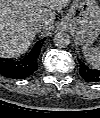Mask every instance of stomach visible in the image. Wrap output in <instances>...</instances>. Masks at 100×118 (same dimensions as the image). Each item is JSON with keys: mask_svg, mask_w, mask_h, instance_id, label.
Wrapping results in <instances>:
<instances>
[{"mask_svg": "<svg viewBox=\"0 0 100 118\" xmlns=\"http://www.w3.org/2000/svg\"><path fill=\"white\" fill-rule=\"evenodd\" d=\"M63 22L80 44L89 46L100 35V6L96 0H73Z\"/></svg>", "mask_w": 100, "mask_h": 118, "instance_id": "obj_1", "label": "stomach"}]
</instances>
